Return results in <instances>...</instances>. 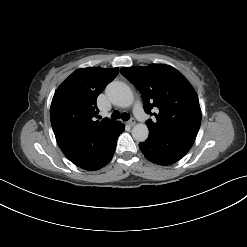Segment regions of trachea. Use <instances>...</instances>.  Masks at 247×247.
<instances>
[{"instance_id": "obj_1", "label": "trachea", "mask_w": 247, "mask_h": 247, "mask_svg": "<svg viewBox=\"0 0 247 247\" xmlns=\"http://www.w3.org/2000/svg\"><path fill=\"white\" fill-rule=\"evenodd\" d=\"M112 119H119L121 118L124 121H128L130 119V115L128 113H122L120 114V112L118 110L113 111L112 115H111Z\"/></svg>"}]
</instances>
